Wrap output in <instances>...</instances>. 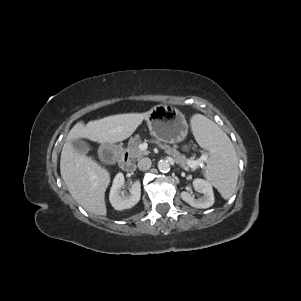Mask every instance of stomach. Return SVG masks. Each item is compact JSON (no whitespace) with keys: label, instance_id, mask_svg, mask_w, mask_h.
<instances>
[{"label":"stomach","instance_id":"stomach-1","mask_svg":"<svg viewBox=\"0 0 301 301\" xmlns=\"http://www.w3.org/2000/svg\"><path fill=\"white\" fill-rule=\"evenodd\" d=\"M146 121L151 135L165 143L181 142L188 133L184 115L178 109L167 105L152 108Z\"/></svg>","mask_w":301,"mask_h":301}]
</instances>
